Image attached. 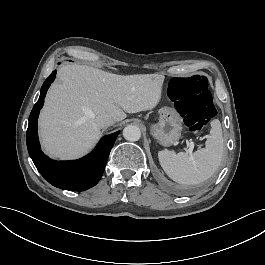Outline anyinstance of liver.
I'll return each instance as SVG.
<instances>
[{"instance_id":"1","label":"liver","mask_w":265,"mask_h":265,"mask_svg":"<svg viewBox=\"0 0 265 265\" xmlns=\"http://www.w3.org/2000/svg\"><path fill=\"white\" fill-rule=\"evenodd\" d=\"M162 74L117 75L78 64L62 66L39 117L44 152L51 158L85 155L101 137L97 118L114 121L153 109L161 98Z\"/></svg>"}]
</instances>
